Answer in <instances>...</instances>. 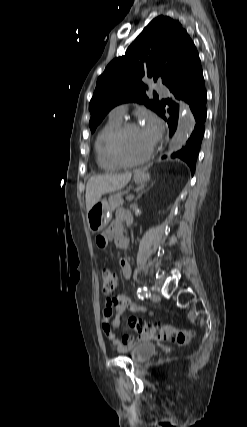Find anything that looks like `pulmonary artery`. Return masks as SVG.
I'll return each mask as SVG.
<instances>
[{
	"instance_id": "e3ab8cb5",
	"label": "pulmonary artery",
	"mask_w": 247,
	"mask_h": 427,
	"mask_svg": "<svg viewBox=\"0 0 247 427\" xmlns=\"http://www.w3.org/2000/svg\"><path fill=\"white\" fill-rule=\"evenodd\" d=\"M156 90L163 95H166L168 93L167 88L164 86L158 85V86H156ZM126 111H127V105L121 104V105L114 107L111 110L110 116L122 119L125 116Z\"/></svg>"
}]
</instances>
